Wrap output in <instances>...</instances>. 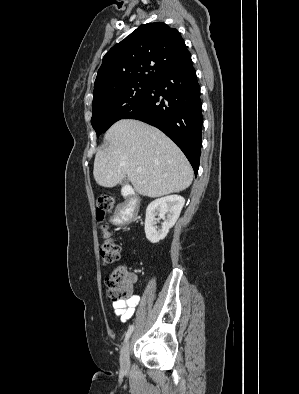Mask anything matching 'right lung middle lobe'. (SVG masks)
<instances>
[{
  "label": "right lung middle lobe",
  "mask_w": 299,
  "mask_h": 394,
  "mask_svg": "<svg viewBox=\"0 0 299 394\" xmlns=\"http://www.w3.org/2000/svg\"><path fill=\"white\" fill-rule=\"evenodd\" d=\"M150 86V82L129 83L95 94L91 124L97 136L123 119L142 100Z\"/></svg>",
  "instance_id": "right-lung-middle-lobe-1"
}]
</instances>
